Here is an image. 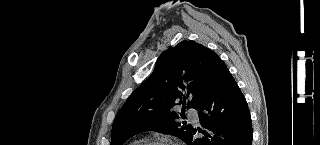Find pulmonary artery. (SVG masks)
Wrapping results in <instances>:
<instances>
[{"mask_svg":"<svg viewBox=\"0 0 320 145\" xmlns=\"http://www.w3.org/2000/svg\"><path fill=\"white\" fill-rule=\"evenodd\" d=\"M187 117L193 123L197 124L199 122L198 113L194 109H191V110L188 111Z\"/></svg>","mask_w":320,"mask_h":145,"instance_id":"obj_1","label":"pulmonary artery"}]
</instances>
